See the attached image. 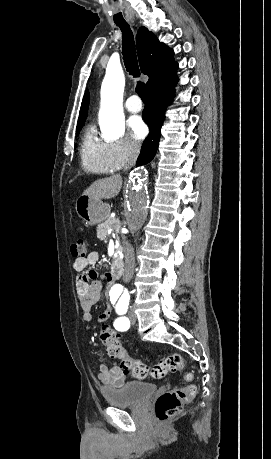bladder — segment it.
I'll use <instances>...</instances> for the list:
<instances>
[{"label": "bladder", "instance_id": "obj_1", "mask_svg": "<svg viewBox=\"0 0 271 459\" xmlns=\"http://www.w3.org/2000/svg\"><path fill=\"white\" fill-rule=\"evenodd\" d=\"M156 391L152 382L134 381L125 383L118 390H106L102 394L109 405H141Z\"/></svg>", "mask_w": 271, "mask_h": 459}]
</instances>
